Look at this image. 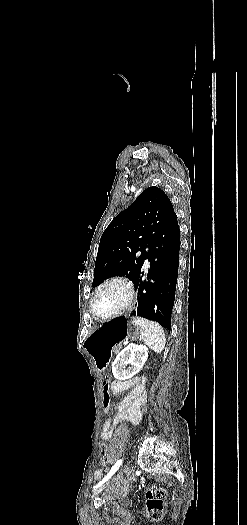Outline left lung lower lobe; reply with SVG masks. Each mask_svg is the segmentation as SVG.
I'll return each instance as SVG.
<instances>
[{
    "label": "left lung lower lobe",
    "instance_id": "1",
    "mask_svg": "<svg viewBox=\"0 0 247 525\" xmlns=\"http://www.w3.org/2000/svg\"><path fill=\"white\" fill-rule=\"evenodd\" d=\"M148 248V281L142 280L144 272L141 269L133 281L138 302L131 315L156 321L170 330L180 250V231L175 213L158 230Z\"/></svg>",
    "mask_w": 247,
    "mask_h": 525
}]
</instances>
